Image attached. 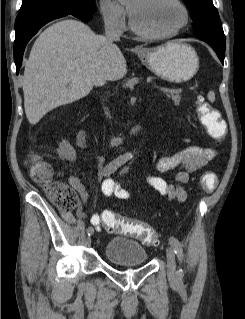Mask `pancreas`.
<instances>
[{
    "instance_id": "1",
    "label": "pancreas",
    "mask_w": 245,
    "mask_h": 319,
    "mask_svg": "<svg viewBox=\"0 0 245 319\" xmlns=\"http://www.w3.org/2000/svg\"><path fill=\"white\" fill-rule=\"evenodd\" d=\"M168 98L172 99L175 105H179L181 101L180 90H172L170 92H166Z\"/></svg>"
}]
</instances>
